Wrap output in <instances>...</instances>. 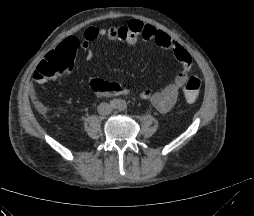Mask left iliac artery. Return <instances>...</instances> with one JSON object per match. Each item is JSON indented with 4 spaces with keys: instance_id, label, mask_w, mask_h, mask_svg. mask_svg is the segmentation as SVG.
Instances as JSON below:
<instances>
[{
    "instance_id": "left-iliac-artery-1",
    "label": "left iliac artery",
    "mask_w": 254,
    "mask_h": 216,
    "mask_svg": "<svg viewBox=\"0 0 254 216\" xmlns=\"http://www.w3.org/2000/svg\"><path fill=\"white\" fill-rule=\"evenodd\" d=\"M127 108L126 102L125 101H121L119 103V110L123 111Z\"/></svg>"
}]
</instances>
